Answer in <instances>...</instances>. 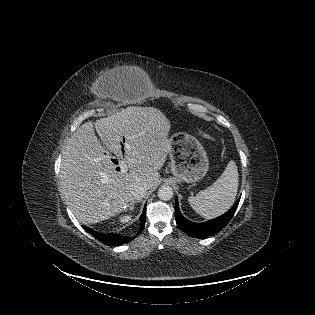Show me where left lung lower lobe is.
I'll use <instances>...</instances> for the list:
<instances>
[{"label":"left lung lower lobe","mask_w":315,"mask_h":315,"mask_svg":"<svg viewBox=\"0 0 315 315\" xmlns=\"http://www.w3.org/2000/svg\"><path fill=\"white\" fill-rule=\"evenodd\" d=\"M175 199H176L175 217H176L177 225L183 232L195 238H206L208 236H211L221 231L233 217L240 201V198H239L238 201L234 204V206L228 212H226L225 214L215 219H212L203 223H195V222L187 220L181 214L179 210V205H178V198L176 197Z\"/></svg>","instance_id":"obj_1"}]
</instances>
